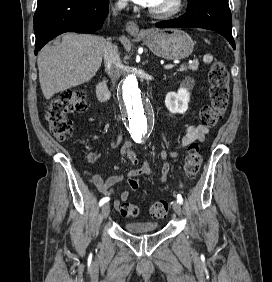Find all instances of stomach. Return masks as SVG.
Returning a JSON list of instances; mask_svg holds the SVG:
<instances>
[{
    "instance_id": "obj_1",
    "label": "stomach",
    "mask_w": 272,
    "mask_h": 282,
    "mask_svg": "<svg viewBox=\"0 0 272 282\" xmlns=\"http://www.w3.org/2000/svg\"><path fill=\"white\" fill-rule=\"evenodd\" d=\"M142 37L152 53L168 60L186 58L194 48L191 37L179 29H149Z\"/></svg>"
}]
</instances>
